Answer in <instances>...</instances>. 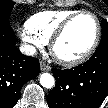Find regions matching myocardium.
<instances>
[{
	"label": "myocardium",
	"mask_w": 108,
	"mask_h": 108,
	"mask_svg": "<svg viewBox=\"0 0 108 108\" xmlns=\"http://www.w3.org/2000/svg\"><path fill=\"white\" fill-rule=\"evenodd\" d=\"M83 15H88V16L92 17L95 22L96 34H95L94 40H93L92 44L90 45V47L80 56L75 57V58H64V57L60 56L56 51L57 43L62 38V36L65 34V32L67 31L69 26L77 18H79L80 16H83ZM100 38H101V25H100V21H99L98 17L90 11H78V12L74 13L73 15L69 16L66 20H64L62 22V24L54 32V34L52 35V37L50 39V52H51L52 56L54 57V59L58 63H60L64 66H68V67L76 66V65H79V64L85 62L86 60H88L91 57V55L95 52V50L98 47Z\"/></svg>",
	"instance_id": "myocardium-1"
}]
</instances>
